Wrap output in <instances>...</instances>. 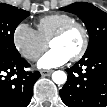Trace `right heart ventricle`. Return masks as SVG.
I'll return each instance as SVG.
<instances>
[{
    "label": "right heart ventricle",
    "mask_w": 107,
    "mask_h": 107,
    "mask_svg": "<svg viewBox=\"0 0 107 107\" xmlns=\"http://www.w3.org/2000/svg\"><path fill=\"white\" fill-rule=\"evenodd\" d=\"M75 20L71 15L55 13L40 18L36 23V31L40 38L48 43L53 34L63 25Z\"/></svg>",
    "instance_id": "right-heart-ventricle-1"
}]
</instances>
